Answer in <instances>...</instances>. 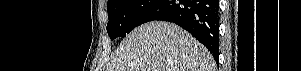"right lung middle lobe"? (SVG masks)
Listing matches in <instances>:
<instances>
[{
    "instance_id": "dd1d6c3e",
    "label": "right lung middle lobe",
    "mask_w": 301,
    "mask_h": 71,
    "mask_svg": "<svg viewBox=\"0 0 301 71\" xmlns=\"http://www.w3.org/2000/svg\"><path fill=\"white\" fill-rule=\"evenodd\" d=\"M157 2V0H108L107 32L111 40L125 37L139 25L143 14Z\"/></svg>"
}]
</instances>
